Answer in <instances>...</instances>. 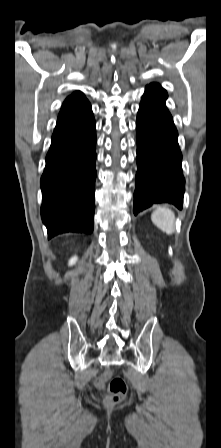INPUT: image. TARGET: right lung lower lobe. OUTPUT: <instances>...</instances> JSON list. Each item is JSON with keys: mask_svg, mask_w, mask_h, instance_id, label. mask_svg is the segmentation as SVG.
Returning <instances> with one entry per match:
<instances>
[{"mask_svg": "<svg viewBox=\"0 0 221 448\" xmlns=\"http://www.w3.org/2000/svg\"><path fill=\"white\" fill-rule=\"evenodd\" d=\"M95 145V120L85 96L63 104L41 177V217L49 239L93 231Z\"/></svg>", "mask_w": 221, "mask_h": 448, "instance_id": "right-lung-lower-lobe-1", "label": "right lung lower lobe"}]
</instances>
